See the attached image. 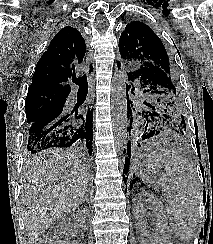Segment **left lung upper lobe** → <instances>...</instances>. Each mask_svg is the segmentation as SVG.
<instances>
[{
    "label": "left lung upper lobe",
    "instance_id": "left-lung-upper-lobe-1",
    "mask_svg": "<svg viewBox=\"0 0 213 244\" xmlns=\"http://www.w3.org/2000/svg\"><path fill=\"white\" fill-rule=\"evenodd\" d=\"M121 62L127 73L128 90L138 92L139 101L156 123L167 133L186 136V110L177 70L167 51L154 31L145 23L133 21L122 32L119 40ZM132 105V104H131Z\"/></svg>",
    "mask_w": 213,
    "mask_h": 244
}]
</instances>
